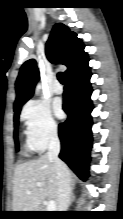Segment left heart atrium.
Here are the masks:
<instances>
[{"mask_svg": "<svg viewBox=\"0 0 123 219\" xmlns=\"http://www.w3.org/2000/svg\"><path fill=\"white\" fill-rule=\"evenodd\" d=\"M54 112L56 114L57 117H62L63 116V110H62V106L59 102H55L54 103Z\"/></svg>", "mask_w": 123, "mask_h": 219, "instance_id": "39dd6f15", "label": "left heart atrium"}]
</instances>
